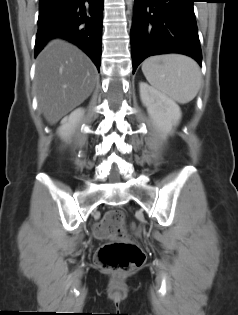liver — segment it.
I'll return each instance as SVG.
<instances>
[{
  "instance_id": "1",
  "label": "liver",
  "mask_w": 238,
  "mask_h": 315,
  "mask_svg": "<svg viewBox=\"0 0 238 315\" xmlns=\"http://www.w3.org/2000/svg\"><path fill=\"white\" fill-rule=\"evenodd\" d=\"M97 70L78 47L61 39L50 41L36 61V90L49 124L83 103L92 93Z\"/></svg>"
}]
</instances>
